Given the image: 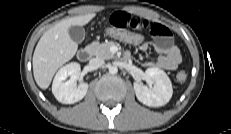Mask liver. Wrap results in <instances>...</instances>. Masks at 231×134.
Returning a JSON list of instances; mask_svg holds the SVG:
<instances>
[{
	"instance_id": "obj_1",
	"label": "liver",
	"mask_w": 231,
	"mask_h": 134,
	"mask_svg": "<svg viewBox=\"0 0 231 134\" xmlns=\"http://www.w3.org/2000/svg\"><path fill=\"white\" fill-rule=\"evenodd\" d=\"M95 13L70 17L48 29L40 38L33 54V74L37 85L47 89L56 71L75 55L78 45L69 35L71 26L89 23Z\"/></svg>"
}]
</instances>
